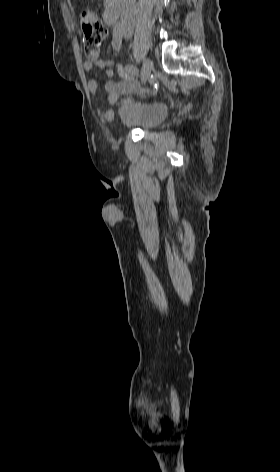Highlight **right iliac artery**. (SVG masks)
<instances>
[{"mask_svg":"<svg viewBox=\"0 0 280 472\" xmlns=\"http://www.w3.org/2000/svg\"><path fill=\"white\" fill-rule=\"evenodd\" d=\"M121 43H122V31L120 25H116L113 28V41H112V46L115 50H119L121 48ZM125 70L128 74H130L132 77H138L139 76V71L138 69L133 66V65H127L125 67Z\"/></svg>","mask_w":280,"mask_h":472,"instance_id":"1","label":"right iliac artery"}]
</instances>
